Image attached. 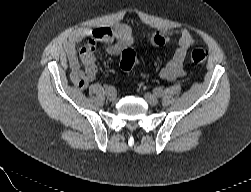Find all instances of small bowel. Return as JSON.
Returning a JSON list of instances; mask_svg holds the SVG:
<instances>
[{
  "instance_id": "c3829d8e",
  "label": "small bowel",
  "mask_w": 251,
  "mask_h": 192,
  "mask_svg": "<svg viewBox=\"0 0 251 192\" xmlns=\"http://www.w3.org/2000/svg\"><path fill=\"white\" fill-rule=\"evenodd\" d=\"M179 36L178 47L172 58L160 70L159 75L167 81H174L185 75L184 64L188 50L195 44L194 37L185 29L175 32ZM168 36L173 31L166 32ZM85 36L83 33L74 34L66 43V52L71 68L70 79L79 89H85L94 79L96 74L95 48L97 42L106 43V51L111 55H118L122 50L128 47L132 42V31L128 25L121 24L112 28L104 27L93 30L89 34L87 46L81 49L79 53L85 69L80 67V61L76 51L79 41Z\"/></svg>"
}]
</instances>
